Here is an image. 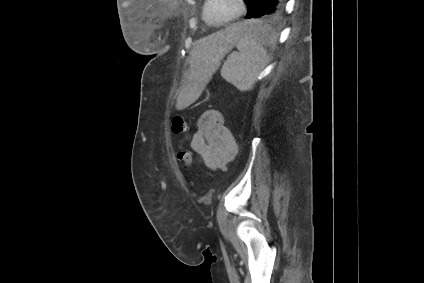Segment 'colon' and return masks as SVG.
I'll list each match as a JSON object with an SVG mask.
<instances>
[{"label":"colon","mask_w":424,"mask_h":283,"mask_svg":"<svg viewBox=\"0 0 424 283\" xmlns=\"http://www.w3.org/2000/svg\"><path fill=\"white\" fill-rule=\"evenodd\" d=\"M171 129L174 134H183L188 130V124L183 117L174 116L171 121ZM178 158L182 160L187 167L192 164V156L189 152H180Z\"/></svg>","instance_id":"obj_1"}]
</instances>
